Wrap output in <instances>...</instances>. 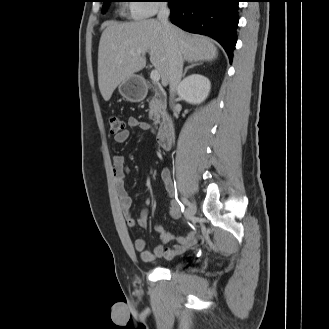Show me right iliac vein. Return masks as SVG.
Here are the masks:
<instances>
[{
  "mask_svg": "<svg viewBox=\"0 0 329 329\" xmlns=\"http://www.w3.org/2000/svg\"><path fill=\"white\" fill-rule=\"evenodd\" d=\"M196 213V204L194 201L191 202V205L189 206V208L187 209L186 213H185V217L186 219H191L193 218V216Z\"/></svg>",
  "mask_w": 329,
  "mask_h": 329,
  "instance_id": "63e3f726",
  "label": "right iliac vein"
}]
</instances>
